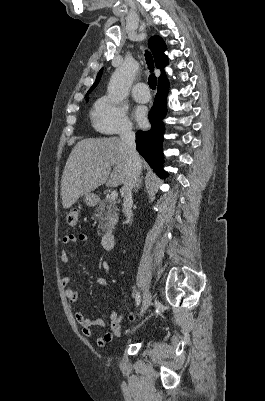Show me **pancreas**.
I'll list each match as a JSON object with an SVG mask.
<instances>
[{"mask_svg": "<svg viewBox=\"0 0 265 401\" xmlns=\"http://www.w3.org/2000/svg\"><path fill=\"white\" fill-rule=\"evenodd\" d=\"M118 209L112 198H102L98 207H95L94 217L98 219L99 227L102 231H112L118 223Z\"/></svg>", "mask_w": 265, "mask_h": 401, "instance_id": "cf45deb5", "label": "pancreas"}]
</instances>
